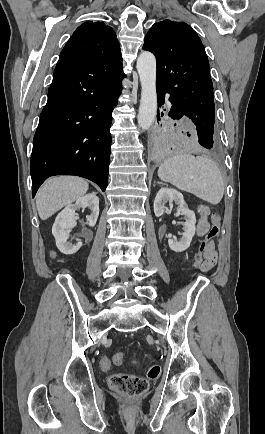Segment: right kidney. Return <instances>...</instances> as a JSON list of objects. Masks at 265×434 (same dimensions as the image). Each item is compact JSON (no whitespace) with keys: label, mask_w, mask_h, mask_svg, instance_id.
Segmentation results:
<instances>
[{"label":"right kidney","mask_w":265,"mask_h":434,"mask_svg":"<svg viewBox=\"0 0 265 434\" xmlns=\"http://www.w3.org/2000/svg\"><path fill=\"white\" fill-rule=\"evenodd\" d=\"M79 208H89L91 210L90 216H87L88 224L93 228L99 216V198L95 192L86 194L82 198H78L76 204H69L60 214H58L52 228V234L56 240V246L62 254H76L82 246V242L77 244H70L68 242L69 234L67 230L75 228L76 226V210Z\"/></svg>","instance_id":"obj_1"}]
</instances>
